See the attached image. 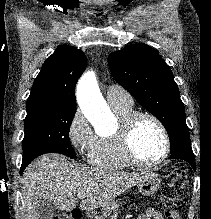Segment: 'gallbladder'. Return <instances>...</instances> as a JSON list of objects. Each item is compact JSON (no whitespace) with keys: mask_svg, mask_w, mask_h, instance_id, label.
<instances>
[{"mask_svg":"<svg viewBox=\"0 0 211 219\" xmlns=\"http://www.w3.org/2000/svg\"><path fill=\"white\" fill-rule=\"evenodd\" d=\"M56 206L52 200H44L39 206V219H52Z\"/></svg>","mask_w":211,"mask_h":219,"instance_id":"obj_1","label":"gallbladder"}]
</instances>
